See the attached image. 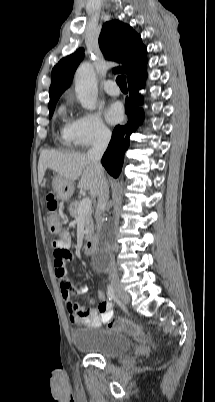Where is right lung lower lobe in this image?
<instances>
[{
    "label": "right lung lower lobe",
    "mask_w": 215,
    "mask_h": 402,
    "mask_svg": "<svg viewBox=\"0 0 215 402\" xmlns=\"http://www.w3.org/2000/svg\"><path fill=\"white\" fill-rule=\"evenodd\" d=\"M145 78L144 75L128 82L130 96L126 98L125 102L128 121L125 125H118L114 128L111 141L101 160L106 170L115 178L121 172L124 153L129 146V137L141 125L144 118L143 109L138 106L143 102L138 91L144 88Z\"/></svg>",
    "instance_id": "obj_1"
}]
</instances>
